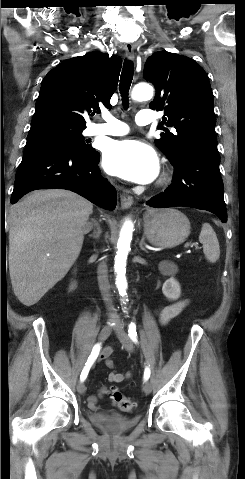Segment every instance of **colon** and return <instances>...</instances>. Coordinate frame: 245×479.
Listing matches in <instances>:
<instances>
[{
  "instance_id": "obj_1",
  "label": "colon",
  "mask_w": 245,
  "mask_h": 479,
  "mask_svg": "<svg viewBox=\"0 0 245 479\" xmlns=\"http://www.w3.org/2000/svg\"><path fill=\"white\" fill-rule=\"evenodd\" d=\"M108 394L112 402L122 411L131 412L136 408V403L126 397L119 389L111 387Z\"/></svg>"
}]
</instances>
